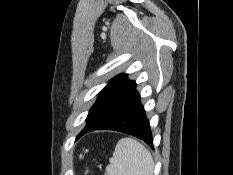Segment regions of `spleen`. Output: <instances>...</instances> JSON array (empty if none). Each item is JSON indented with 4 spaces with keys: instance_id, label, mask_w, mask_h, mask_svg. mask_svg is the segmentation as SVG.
Listing matches in <instances>:
<instances>
[{
    "instance_id": "obj_1",
    "label": "spleen",
    "mask_w": 233,
    "mask_h": 175,
    "mask_svg": "<svg viewBox=\"0 0 233 175\" xmlns=\"http://www.w3.org/2000/svg\"><path fill=\"white\" fill-rule=\"evenodd\" d=\"M154 169L150 152L137 140H119L106 167L107 175H152Z\"/></svg>"
}]
</instances>
